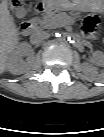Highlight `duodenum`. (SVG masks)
<instances>
[{
    "label": "duodenum",
    "mask_w": 104,
    "mask_h": 137,
    "mask_svg": "<svg viewBox=\"0 0 104 137\" xmlns=\"http://www.w3.org/2000/svg\"><path fill=\"white\" fill-rule=\"evenodd\" d=\"M45 11H47V8L44 5L39 4L34 10V13L38 14ZM20 29L23 35H29L34 29V23L32 21H24L21 24Z\"/></svg>",
    "instance_id": "1"
}]
</instances>
